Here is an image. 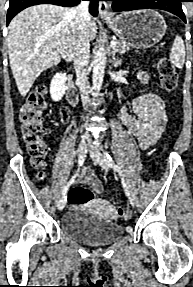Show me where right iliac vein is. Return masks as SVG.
<instances>
[{"mask_svg": "<svg viewBox=\"0 0 193 287\" xmlns=\"http://www.w3.org/2000/svg\"><path fill=\"white\" fill-rule=\"evenodd\" d=\"M86 152H87V143H86L85 140H83V141L79 144L78 149H77L78 157H85ZM66 202H67V197H66V196H63V197L58 201V209H59V210H62V209L65 207Z\"/></svg>", "mask_w": 193, "mask_h": 287, "instance_id": "63e3f726", "label": "right iliac vein"}]
</instances>
